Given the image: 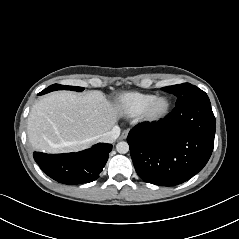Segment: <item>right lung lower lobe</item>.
Listing matches in <instances>:
<instances>
[{
    "mask_svg": "<svg viewBox=\"0 0 239 239\" xmlns=\"http://www.w3.org/2000/svg\"><path fill=\"white\" fill-rule=\"evenodd\" d=\"M111 150V144L98 143L77 153L34 152L33 157L41 170L49 177L59 183L74 185L89 183L99 178Z\"/></svg>",
    "mask_w": 239,
    "mask_h": 239,
    "instance_id": "1",
    "label": "right lung lower lobe"
}]
</instances>
